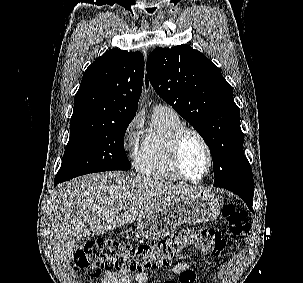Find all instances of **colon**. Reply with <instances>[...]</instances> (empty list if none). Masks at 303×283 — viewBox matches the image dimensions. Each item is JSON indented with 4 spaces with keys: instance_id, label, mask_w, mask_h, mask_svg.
Wrapping results in <instances>:
<instances>
[{
    "instance_id": "1",
    "label": "colon",
    "mask_w": 303,
    "mask_h": 283,
    "mask_svg": "<svg viewBox=\"0 0 303 283\" xmlns=\"http://www.w3.org/2000/svg\"><path fill=\"white\" fill-rule=\"evenodd\" d=\"M228 236L237 238L250 228L248 213L233 204L222 208ZM226 244V236L219 230L205 227L187 229L169 239L155 243L130 244L115 239H99L79 249L74 256V267L85 270L91 277L103 271L142 272L151 268L168 266L173 259L193 248L200 253L218 257ZM196 275L188 269L177 280L165 283H194Z\"/></svg>"
}]
</instances>
